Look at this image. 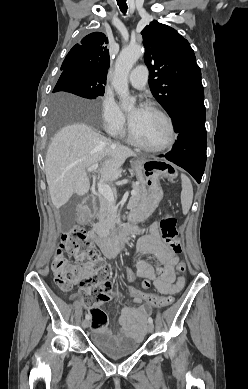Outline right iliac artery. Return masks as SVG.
I'll use <instances>...</instances> for the list:
<instances>
[{
	"mask_svg": "<svg viewBox=\"0 0 248 389\" xmlns=\"http://www.w3.org/2000/svg\"><path fill=\"white\" fill-rule=\"evenodd\" d=\"M85 318L89 320V319H90V315L87 314V315L85 316Z\"/></svg>",
	"mask_w": 248,
	"mask_h": 389,
	"instance_id": "obj_1",
	"label": "right iliac artery"
}]
</instances>
